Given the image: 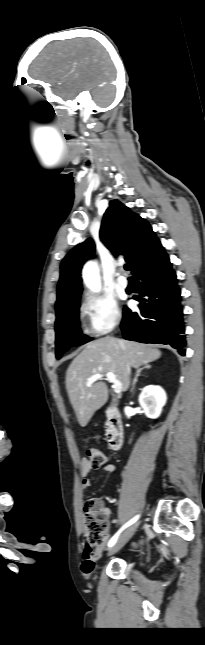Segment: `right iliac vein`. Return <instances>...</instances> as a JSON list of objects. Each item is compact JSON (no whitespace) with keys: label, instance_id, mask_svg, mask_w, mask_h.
<instances>
[{"label":"right iliac vein","instance_id":"1","mask_svg":"<svg viewBox=\"0 0 205 645\" xmlns=\"http://www.w3.org/2000/svg\"><path fill=\"white\" fill-rule=\"evenodd\" d=\"M138 526H139V523H136L133 526H131L130 528H128L120 536V538L115 542V544L109 549L108 556H111V555L117 553L130 540V538L134 535V533L136 532Z\"/></svg>","mask_w":205,"mask_h":645}]
</instances>
